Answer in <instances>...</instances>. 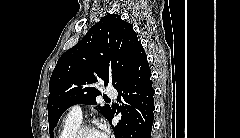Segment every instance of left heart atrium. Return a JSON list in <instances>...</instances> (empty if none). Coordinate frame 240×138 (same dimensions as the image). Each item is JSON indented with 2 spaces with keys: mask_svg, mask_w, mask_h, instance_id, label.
<instances>
[{
  "mask_svg": "<svg viewBox=\"0 0 240 138\" xmlns=\"http://www.w3.org/2000/svg\"><path fill=\"white\" fill-rule=\"evenodd\" d=\"M98 133H99L100 138H104L107 134L105 129L98 130Z\"/></svg>",
  "mask_w": 240,
  "mask_h": 138,
  "instance_id": "left-heart-atrium-1",
  "label": "left heart atrium"
}]
</instances>
